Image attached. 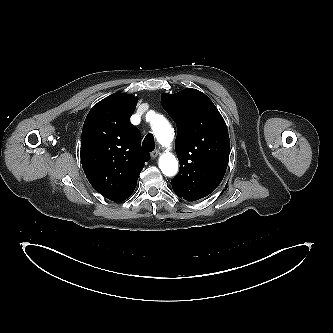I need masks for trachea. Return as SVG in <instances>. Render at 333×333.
Listing matches in <instances>:
<instances>
[{
  "label": "trachea",
  "mask_w": 333,
  "mask_h": 333,
  "mask_svg": "<svg viewBox=\"0 0 333 333\" xmlns=\"http://www.w3.org/2000/svg\"><path fill=\"white\" fill-rule=\"evenodd\" d=\"M142 146L147 151H153L155 149L154 137L152 134H147L143 140Z\"/></svg>",
  "instance_id": "obj_1"
}]
</instances>
